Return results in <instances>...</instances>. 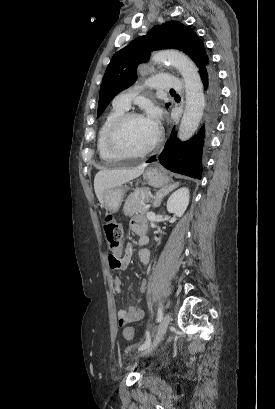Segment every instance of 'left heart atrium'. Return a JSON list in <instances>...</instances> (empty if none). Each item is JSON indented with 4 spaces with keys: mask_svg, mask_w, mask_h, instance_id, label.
I'll use <instances>...</instances> for the list:
<instances>
[{
    "mask_svg": "<svg viewBox=\"0 0 275 409\" xmlns=\"http://www.w3.org/2000/svg\"><path fill=\"white\" fill-rule=\"evenodd\" d=\"M160 119L159 111L155 108H150L148 111L147 122L154 128H158V122Z\"/></svg>",
    "mask_w": 275,
    "mask_h": 409,
    "instance_id": "1",
    "label": "left heart atrium"
}]
</instances>
